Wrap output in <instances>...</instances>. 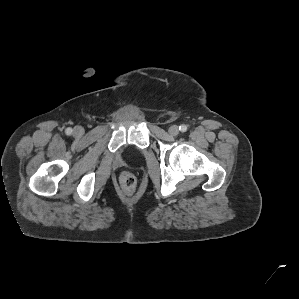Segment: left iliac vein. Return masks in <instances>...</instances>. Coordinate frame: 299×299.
Returning <instances> with one entry per match:
<instances>
[{"label":"left iliac vein","mask_w":299,"mask_h":299,"mask_svg":"<svg viewBox=\"0 0 299 299\" xmlns=\"http://www.w3.org/2000/svg\"><path fill=\"white\" fill-rule=\"evenodd\" d=\"M169 134L171 136H177L179 134V128L176 125H172L169 130H168Z\"/></svg>","instance_id":"4c4485c4"}]
</instances>
